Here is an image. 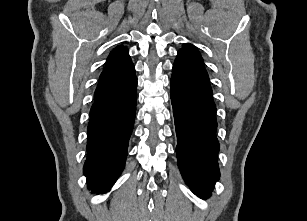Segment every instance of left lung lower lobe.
<instances>
[{
  "label": "left lung lower lobe",
  "instance_id": "0a47b994",
  "mask_svg": "<svg viewBox=\"0 0 307 221\" xmlns=\"http://www.w3.org/2000/svg\"><path fill=\"white\" fill-rule=\"evenodd\" d=\"M171 101L178 166L193 193L207 198L220 176L216 107L204 66L181 51L172 69Z\"/></svg>",
  "mask_w": 307,
  "mask_h": 221
}]
</instances>
